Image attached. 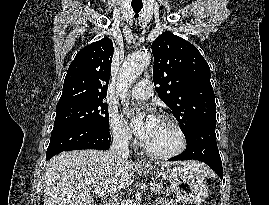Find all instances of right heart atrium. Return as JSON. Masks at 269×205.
Returning a JSON list of instances; mask_svg holds the SVG:
<instances>
[{"mask_svg": "<svg viewBox=\"0 0 269 205\" xmlns=\"http://www.w3.org/2000/svg\"><path fill=\"white\" fill-rule=\"evenodd\" d=\"M108 126L114 141L122 145H130L133 143V137L125 127L120 116L116 114H110L108 118Z\"/></svg>", "mask_w": 269, "mask_h": 205, "instance_id": "d8ad5b80", "label": "right heart atrium"}]
</instances>
